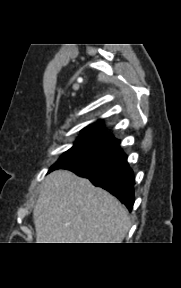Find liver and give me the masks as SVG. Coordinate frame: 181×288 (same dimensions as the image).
<instances>
[{
    "label": "liver",
    "mask_w": 181,
    "mask_h": 288,
    "mask_svg": "<svg viewBox=\"0 0 181 288\" xmlns=\"http://www.w3.org/2000/svg\"><path fill=\"white\" fill-rule=\"evenodd\" d=\"M33 220L37 243H122L131 227L118 199L63 169L42 182Z\"/></svg>",
    "instance_id": "1"
}]
</instances>
